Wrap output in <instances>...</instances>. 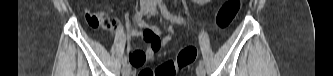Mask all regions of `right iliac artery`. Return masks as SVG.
<instances>
[{
    "label": "right iliac artery",
    "instance_id": "82829eb1",
    "mask_svg": "<svg viewBox=\"0 0 333 76\" xmlns=\"http://www.w3.org/2000/svg\"><path fill=\"white\" fill-rule=\"evenodd\" d=\"M160 2H161L160 0H155V1L153 2V4H154V5H159ZM142 17H143V10L137 12L136 15H135V19H136L137 22H143V21H142ZM122 63H123V65H126V64H127V57H126V56H124V58H123V60H122Z\"/></svg>",
    "mask_w": 333,
    "mask_h": 76
}]
</instances>
